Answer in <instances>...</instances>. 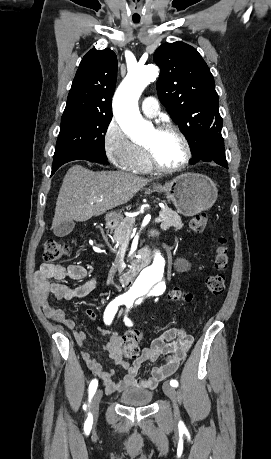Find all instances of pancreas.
<instances>
[{
  "mask_svg": "<svg viewBox=\"0 0 271 459\" xmlns=\"http://www.w3.org/2000/svg\"><path fill=\"white\" fill-rule=\"evenodd\" d=\"M160 220H162L161 228L167 229L169 226H174L176 229H181L183 224H181L180 216L173 212L171 208H163L159 212ZM135 220L134 218H125L118 228L114 231V239L122 243L123 245H128L130 243L129 235L134 228Z\"/></svg>",
  "mask_w": 271,
  "mask_h": 459,
  "instance_id": "obj_1",
  "label": "pancreas"
}]
</instances>
